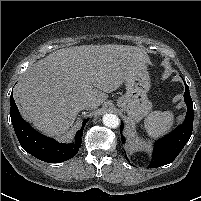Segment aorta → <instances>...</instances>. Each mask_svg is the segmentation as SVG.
<instances>
[{
    "label": "aorta",
    "instance_id": "1",
    "mask_svg": "<svg viewBox=\"0 0 201 201\" xmlns=\"http://www.w3.org/2000/svg\"><path fill=\"white\" fill-rule=\"evenodd\" d=\"M120 120L115 114H106L103 116V124L109 128H117Z\"/></svg>",
    "mask_w": 201,
    "mask_h": 201
}]
</instances>
